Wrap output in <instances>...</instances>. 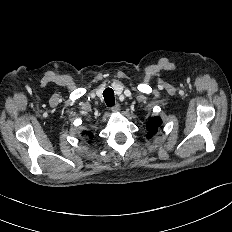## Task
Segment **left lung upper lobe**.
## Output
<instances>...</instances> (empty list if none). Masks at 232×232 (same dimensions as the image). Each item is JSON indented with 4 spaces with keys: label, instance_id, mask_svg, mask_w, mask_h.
Instances as JSON below:
<instances>
[{
    "label": "left lung upper lobe",
    "instance_id": "1",
    "mask_svg": "<svg viewBox=\"0 0 232 232\" xmlns=\"http://www.w3.org/2000/svg\"><path fill=\"white\" fill-rule=\"evenodd\" d=\"M162 120L159 117L150 118L147 122V130L149 134V138H151L161 126Z\"/></svg>",
    "mask_w": 232,
    "mask_h": 232
}]
</instances>
